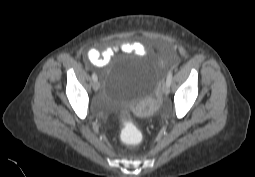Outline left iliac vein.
<instances>
[{
    "instance_id": "left-iliac-vein-1",
    "label": "left iliac vein",
    "mask_w": 255,
    "mask_h": 177,
    "mask_svg": "<svg viewBox=\"0 0 255 177\" xmlns=\"http://www.w3.org/2000/svg\"><path fill=\"white\" fill-rule=\"evenodd\" d=\"M162 92H163L164 95H168V94H169V92H170V86H168L167 83L164 84V86H163V88H162Z\"/></svg>"
}]
</instances>
